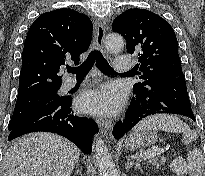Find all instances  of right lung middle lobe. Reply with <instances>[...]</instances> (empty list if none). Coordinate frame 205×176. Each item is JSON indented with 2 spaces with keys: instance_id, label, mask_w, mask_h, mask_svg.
I'll return each mask as SVG.
<instances>
[{
  "instance_id": "obj_1",
  "label": "right lung middle lobe",
  "mask_w": 205,
  "mask_h": 176,
  "mask_svg": "<svg viewBox=\"0 0 205 176\" xmlns=\"http://www.w3.org/2000/svg\"><path fill=\"white\" fill-rule=\"evenodd\" d=\"M60 86L39 90L28 95L17 97L14 113L8 125V130H13L25 122L36 111L52 101L63 99L57 95Z\"/></svg>"
}]
</instances>
